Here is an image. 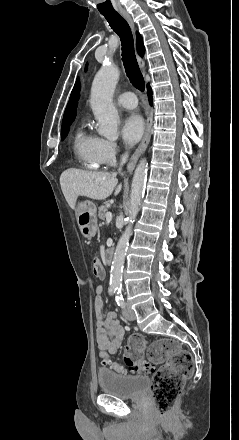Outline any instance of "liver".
<instances>
[{"label": "liver", "mask_w": 239, "mask_h": 440, "mask_svg": "<svg viewBox=\"0 0 239 440\" xmlns=\"http://www.w3.org/2000/svg\"><path fill=\"white\" fill-rule=\"evenodd\" d=\"M116 174L107 172H86L69 168L60 176L61 190L70 208L75 210L78 196H86L92 200H106L114 192L118 196L122 190V184H118ZM117 186V188H116Z\"/></svg>", "instance_id": "6515ba94"}]
</instances>
